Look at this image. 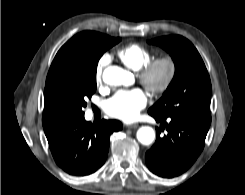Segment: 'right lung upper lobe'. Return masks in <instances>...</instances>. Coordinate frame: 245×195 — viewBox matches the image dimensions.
I'll return each instance as SVG.
<instances>
[{
	"mask_svg": "<svg viewBox=\"0 0 245 195\" xmlns=\"http://www.w3.org/2000/svg\"><path fill=\"white\" fill-rule=\"evenodd\" d=\"M107 36L93 31H84L74 37H72L68 43L77 40H99L100 38ZM56 54L55 57H57ZM55 59V58H54ZM71 120L67 117L65 112L57 104L48 88L45 87L44 90V111H43V128L46 137H50L58 133L63 129Z\"/></svg>",
	"mask_w": 245,
	"mask_h": 195,
	"instance_id": "cb5924a9",
	"label": "right lung upper lobe"
}]
</instances>
